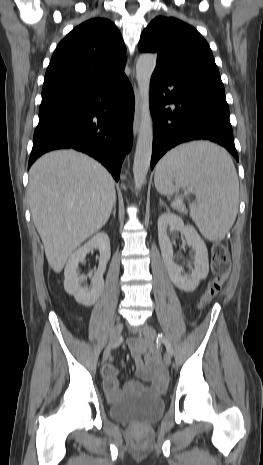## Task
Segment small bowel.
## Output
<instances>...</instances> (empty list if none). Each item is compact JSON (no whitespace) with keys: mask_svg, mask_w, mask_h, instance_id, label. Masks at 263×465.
<instances>
[{"mask_svg":"<svg viewBox=\"0 0 263 465\" xmlns=\"http://www.w3.org/2000/svg\"><path fill=\"white\" fill-rule=\"evenodd\" d=\"M193 327L197 326L196 322L192 323ZM129 348L135 362L136 373L146 385L131 381L126 385V389H140L145 387L154 392H161L167 385V374L159 365L157 359L147 355L150 348L147 342L140 338H132L129 340ZM146 355L145 358L143 356ZM118 369L113 364L108 363L103 368L104 387L108 396L112 399L119 397L120 389L118 386Z\"/></svg>","mask_w":263,"mask_h":465,"instance_id":"small-bowel-1","label":"small bowel"}]
</instances>
